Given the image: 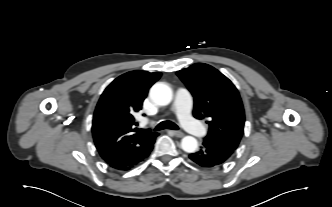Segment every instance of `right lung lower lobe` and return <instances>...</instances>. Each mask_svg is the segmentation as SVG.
I'll list each match as a JSON object with an SVG mask.
<instances>
[{"instance_id":"right-lung-lower-lobe-1","label":"right lung lower lobe","mask_w":332,"mask_h":207,"mask_svg":"<svg viewBox=\"0 0 332 207\" xmlns=\"http://www.w3.org/2000/svg\"><path fill=\"white\" fill-rule=\"evenodd\" d=\"M154 142H155V141H154ZM153 144H154V143H153ZM152 148H153V145H152V147H151L150 151L152 150ZM150 151H149V152L146 154V156H145V157H147V156L149 155ZM145 157H144V158H145ZM144 158H143V159H144ZM143 159H142V160H143ZM142 160H141V161H142Z\"/></svg>"}]
</instances>
